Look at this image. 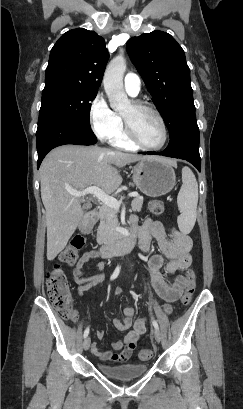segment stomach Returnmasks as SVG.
I'll return each mask as SVG.
<instances>
[{
    "mask_svg": "<svg viewBox=\"0 0 243 409\" xmlns=\"http://www.w3.org/2000/svg\"><path fill=\"white\" fill-rule=\"evenodd\" d=\"M133 182L149 197H160L175 186L176 176L173 163L162 157H148L132 168Z\"/></svg>",
    "mask_w": 243,
    "mask_h": 409,
    "instance_id": "1",
    "label": "stomach"
}]
</instances>
